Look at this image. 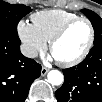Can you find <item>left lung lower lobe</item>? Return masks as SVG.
I'll list each match as a JSON object with an SVG mask.
<instances>
[{
  "instance_id": "0a47b994",
  "label": "left lung lower lobe",
  "mask_w": 102,
  "mask_h": 102,
  "mask_svg": "<svg viewBox=\"0 0 102 102\" xmlns=\"http://www.w3.org/2000/svg\"><path fill=\"white\" fill-rule=\"evenodd\" d=\"M63 73L64 84L55 93L58 102H102V42L95 43L80 64Z\"/></svg>"
}]
</instances>
